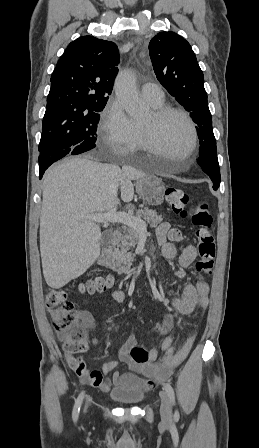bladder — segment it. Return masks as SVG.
I'll return each mask as SVG.
<instances>
[{"mask_svg": "<svg viewBox=\"0 0 259 448\" xmlns=\"http://www.w3.org/2000/svg\"><path fill=\"white\" fill-rule=\"evenodd\" d=\"M111 400L122 405H136L143 401L144 392L140 388H115L110 393Z\"/></svg>", "mask_w": 259, "mask_h": 448, "instance_id": "bladder-1", "label": "bladder"}]
</instances>
